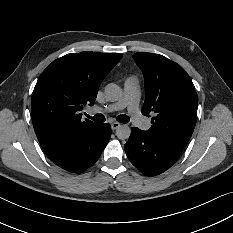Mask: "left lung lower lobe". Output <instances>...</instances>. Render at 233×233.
Segmentation results:
<instances>
[{"instance_id":"1","label":"left lung lower lobe","mask_w":233,"mask_h":233,"mask_svg":"<svg viewBox=\"0 0 233 233\" xmlns=\"http://www.w3.org/2000/svg\"><path fill=\"white\" fill-rule=\"evenodd\" d=\"M124 149L131 163L144 175L155 176L169 169L184 147L150 137L134 127Z\"/></svg>"}]
</instances>
